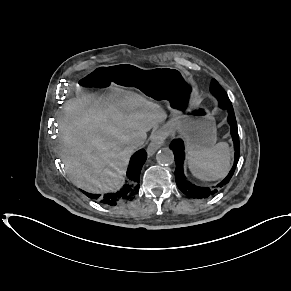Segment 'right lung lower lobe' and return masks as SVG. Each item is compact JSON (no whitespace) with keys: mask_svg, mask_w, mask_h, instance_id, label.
I'll use <instances>...</instances> for the list:
<instances>
[{"mask_svg":"<svg viewBox=\"0 0 291 291\" xmlns=\"http://www.w3.org/2000/svg\"><path fill=\"white\" fill-rule=\"evenodd\" d=\"M147 158L145 150L141 149L134 153L130 159L127 169V180L124 186L117 192L107 193L104 195L91 194L84 192L86 196L97 200L107 206H116L121 203L132 201L139 191L140 172Z\"/></svg>","mask_w":291,"mask_h":291,"instance_id":"1","label":"right lung lower lobe"}]
</instances>
